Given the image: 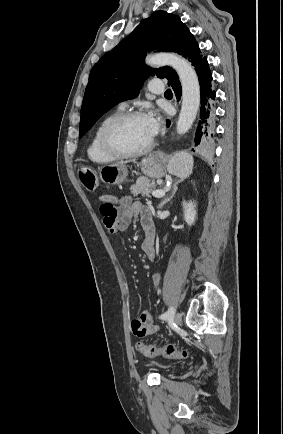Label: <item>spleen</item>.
Returning a JSON list of instances; mask_svg holds the SVG:
<instances>
[{"instance_id": "obj_1", "label": "spleen", "mask_w": 283, "mask_h": 434, "mask_svg": "<svg viewBox=\"0 0 283 434\" xmlns=\"http://www.w3.org/2000/svg\"><path fill=\"white\" fill-rule=\"evenodd\" d=\"M167 169L169 173L185 179L192 173L193 157L186 152L177 153L169 160Z\"/></svg>"}]
</instances>
